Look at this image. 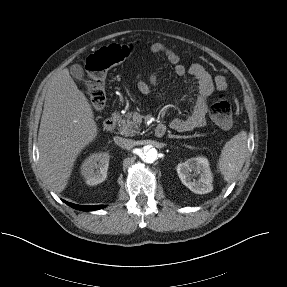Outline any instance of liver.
Masks as SVG:
<instances>
[{"label":"liver","instance_id":"obj_1","mask_svg":"<svg viewBox=\"0 0 287 287\" xmlns=\"http://www.w3.org/2000/svg\"><path fill=\"white\" fill-rule=\"evenodd\" d=\"M97 133L86 96L69 70H61L49 82L38 132L40 166L54 191L66 188L74 162Z\"/></svg>","mask_w":287,"mask_h":287}]
</instances>
